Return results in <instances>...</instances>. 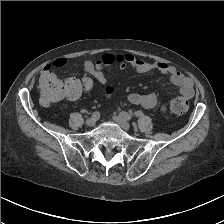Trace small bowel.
<instances>
[{
  "label": "small bowel",
  "instance_id": "small-bowel-1",
  "mask_svg": "<svg viewBox=\"0 0 224 224\" xmlns=\"http://www.w3.org/2000/svg\"><path fill=\"white\" fill-rule=\"evenodd\" d=\"M67 64L66 58H58L51 64H47L41 71L40 83L47 78H55L52 68H60ZM110 64H117L121 69L127 67L132 68L140 73L149 71H157L162 75L169 76L173 85L179 87L180 93L187 99H190L194 95L193 82L184 74L179 72L175 67L164 62H150L135 57L132 54H103L95 61L87 60L84 63V70L87 74L93 76L100 83H106V77L103 73V68ZM128 101L136 106H141L146 109H151L156 106L158 102L157 94L154 92L141 94L131 93L128 96ZM165 110V107L162 108Z\"/></svg>",
  "mask_w": 224,
  "mask_h": 224
}]
</instances>
